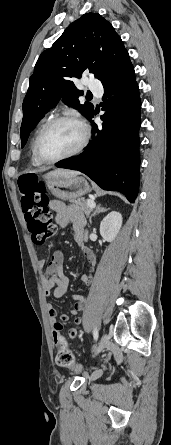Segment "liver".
Returning <instances> with one entry per match:
<instances>
[{
    "label": "liver",
    "instance_id": "obj_1",
    "mask_svg": "<svg viewBox=\"0 0 171 445\" xmlns=\"http://www.w3.org/2000/svg\"><path fill=\"white\" fill-rule=\"evenodd\" d=\"M79 173L77 171L58 169L54 170L47 175H59V176H77Z\"/></svg>",
    "mask_w": 171,
    "mask_h": 445
}]
</instances>
